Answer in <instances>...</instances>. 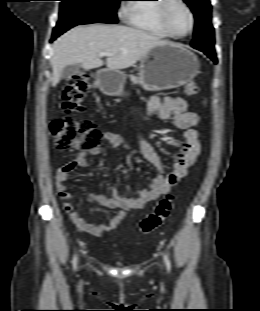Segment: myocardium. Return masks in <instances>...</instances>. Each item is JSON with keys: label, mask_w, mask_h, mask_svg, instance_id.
Masks as SVG:
<instances>
[{"label": "myocardium", "mask_w": 260, "mask_h": 311, "mask_svg": "<svg viewBox=\"0 0 260 311\" xmlns=\"http://www.w3.org/2000/svg\"><path fill=\"white\" fill-rule=\"evenodd\" d=\"M172 2H178L180 3L185 10L188 12L189 17H190V28L189 30L182 35L176 34L174 33L168 24L167 21V12L169 9V6L171 5ZM157 16H158V20L160 22V25L162 26V28L165 30V32L173 37V38H184L186 36H188L189 34L192 33L194 26H195V16L194 13L192 11V9L190 8V6L186 3L185 0H160V3L158 5V12H157Z\"/></svg>", "instance_id": "myocardium-1"}]
</instances>
